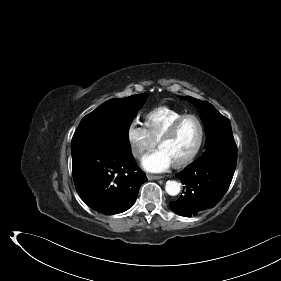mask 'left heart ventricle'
Wrapping results in <instances>:
<instances>
[{
  "label": "left heart ventricle",
  "instance_id": "b2bd125f",
  "mask_svg": "<svg viewBox=\"0 0 281 281\" xmlns=\"http://www.w3.org/2000/svg\"><path fill=\"white\" fill-rule=\"evenodd\" d=\"M199 126L195 119L184 120L175 134L160 147L173 163L184 159L195 148L199 139Z\"/></svg>",
  "mask_w": 281,
  "mask_h": 281
}]
</instances>
